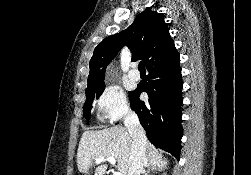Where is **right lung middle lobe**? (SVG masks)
<instances>
[{"label":"right lung middle lobe","instance_id":"1","mask_svg":"<svg viewBox=\"0 0 251 175\" xmlns=\"http://www.w3.org/2000/svg\"><path fill=\"white\" fill-rule=\"evenodd\" d=\"M105 86H98V87H91L86 89V101L84 104V115L87 120L90 119V110H91V104L93 100L96 98L98 99L100 95L103 93Z\"/></svg>","mask_w":251,"mask_h":175}]
</instances>
